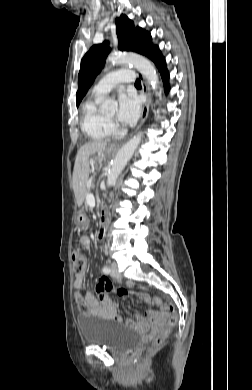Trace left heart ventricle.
<instances>
[{"label":"left heart ventricle","instance_id":"obj_1","mask_svg":"<svg viewBox=\"0 0 252 390\" xmlns=\"http://www.w3.org/2000/svg\"><path fill=\"white\" fill-rule=\"evenodd\" d=\"M115 115H116V111L114 110V111H113L112 113H110L108 116H109L110 118H114Z\"/></svg>","mask_w":252,"mask_h":390}]
</instances>
